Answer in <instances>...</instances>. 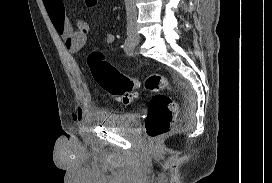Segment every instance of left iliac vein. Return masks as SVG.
Segmentation results:
<instances>
[{"label":"left iliac vein","mask_w":272,"mask_h":183,"mask_svg":"<svg viewBox=\"0 0 272 183\" xmlns=\"http://www.w3.org/2000/svg\"><path fill=\"white\" fill-rule=\"evenodd\" d=\"M139 42V37L136 36V40L133 42V46H136Z\"/></svg>","instance_id":"4c4485c4"}]
</instances>
